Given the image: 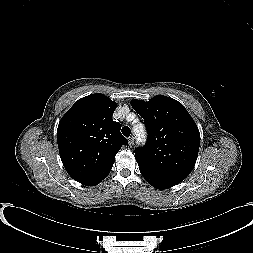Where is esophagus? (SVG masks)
<instances>
[{
  "instance_id": "obj_1",
  "label": "esophagus",
  "mask_w": 253,
  "mask_h": 253,
  "mask_svg": "<svg viewBox=\"0 0 253 253\" xmlns=\"http://www.w3.org/2000/svg\"><path fill=\"white\" fill-rule=\"evenodd\" d=\"M128 144H129L130 147L133 146V144H134L133 136L129 137V139H128Z\"/></svg>"
}]
</instances>
